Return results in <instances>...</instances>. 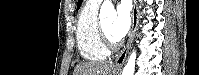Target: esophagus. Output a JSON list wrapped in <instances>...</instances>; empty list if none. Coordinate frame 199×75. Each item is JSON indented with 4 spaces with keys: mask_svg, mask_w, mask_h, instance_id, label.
Masks as SVG:
<instances>
[{
    "mask_svg": "<svg viewBox=\"0 0 199 75\" xmlns=\"http://www.w3.org/2000/svg\"><path fill=\"white\" fill-rule=\"evenodd\" d=\"M137 23H138V7H137V0H134L133 1V10H132V26H131V31L129 34V39H128V42H127L125 48L116 57L115 62H114L115 66H123V64L126 60L128 51L130 49L131 43L133 41L135 32H136Z\"/></svg>",
    "mask_w": 199,
    "mask_h": 75,
    "instance_id": "obj_1",
    "label": "esophagus"
}]
</instances>
